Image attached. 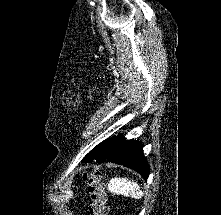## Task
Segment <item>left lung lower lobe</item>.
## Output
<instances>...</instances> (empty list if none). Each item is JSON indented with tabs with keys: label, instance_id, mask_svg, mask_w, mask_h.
<instances>
[{
	"label": "left lung lower lobe",
	"instance_id": "obj_1",
	"mask_svg": "<svg viewBox=\"0 0 221 215\" xmlns=\"http://www.w3.org/2000/svg\"><path fill=\"white\" fill-rule=\"evenodd\" d=\"M97 162H108L124 165L134 169L144 179L148 178L149 167L143 155L142 145L138 141L126 140L122 136L109 139L105 153L95 159Z\"/></svg>",
	"mask_w": 221,
	"mask_h": 215
}]
</instances>
